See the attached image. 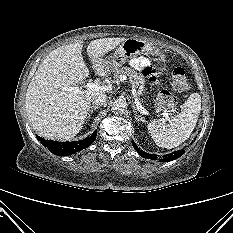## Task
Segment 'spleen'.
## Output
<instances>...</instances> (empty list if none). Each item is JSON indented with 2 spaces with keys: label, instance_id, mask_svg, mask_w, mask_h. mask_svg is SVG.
<instances>
[{
  "label": "spleen",
  "instance_id": "spleen-1",
  "mask_svg": "<svg viewBox=\"0 0 233 233\" xmlns=\"http://www.w3.org/2000/svg\"><path fill=\"white\" fill-rule=\"evenodd\" d=\"M179 115L168 124L151 121L147 125L156 145L162 148H175L186 141L193 132L201 111V96L193 93L181 107Z\"/></svg>",
  "mask_w": 233,
  "mask_h": 233
}]
</instances>
